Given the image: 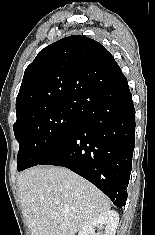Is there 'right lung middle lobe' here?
I'll list each match as a JSON object with an SVG mask.
<instances>
[{
  "label": "right lung middle lobe",
  "mask_w": 155,
  "mask_h": 235,
  "mask_svg": "<svg viewBox=\"0 0 155 235\" xmlns=\"http://www.w3.org/2000/svg\"><path fill=\"white\" fill-rule=\"evenodd\" d=\"M80 126L78 108L72 106L45 105L18 116L13 127L18 171L38 165Z\"/></svg>",
  "instance_id": "right-lung-middle-lobe-1"
}]
</instances>
